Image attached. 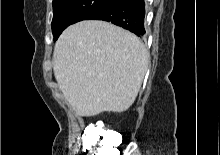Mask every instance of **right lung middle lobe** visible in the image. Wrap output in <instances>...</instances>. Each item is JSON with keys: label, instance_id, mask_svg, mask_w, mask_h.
<instances>
[{"label": "right lung middle lobe", "instance_id": "right-lung-middle-lobe-1", "mask_svg": "<svg viewBox=\"0 0 220 155\" xmlns=\"http://www.w3.org/2000/svg\"><path fill=\"white\" fill-rule=\"evenodd\" d=\"M119 0H53L52 32L55 39L69 25L112 6Z\"/></svg>", "mask_w": 220, "mask_h": 155}]
</instances>
